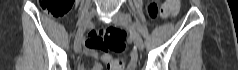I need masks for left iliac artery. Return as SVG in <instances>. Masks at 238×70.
Wrapping results in <instances>:
<instances>
[{
  "instance_id": "left-iliac-artery-1",
  "label": "left iliac artery",
  "mask_w": 238,
  "mask_h": 70,
  "mask_svg": "<svg viewBox=\"0 0 238 70\" xmlns=\"http://www.w3.org/2000/svg\"><path fill=\"white\" fill-rule=\"evenodd\" d=\"M136 27L138 28V30L141 32V34L143 36H145L146 38H149L150 37V34L149 33H146V31L139 25H136Z\"/></svg>"
}]
</instances>
